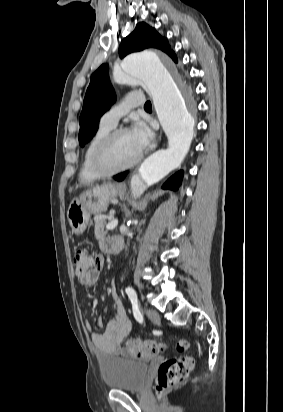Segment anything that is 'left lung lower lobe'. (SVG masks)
I'll use <instances>...</instances> for the list:
<instances>
[{
    "label": "left lung lower lobe",
    "mask_w": 283,
    "mask_h": 412,
    "mask_svg": "<svg viewBox=\"0 0 283 412\" xmlns=\"http://www.w3.org/2000/svg\"><path fill=\"white\" fill-rule=\"evenodd\" d=\"M127 172L117 174L113 176V178L117 181H122L124 177L126 176ZM183 178V171H179L176 174H174L172 177H170L165 184L163 185L164 189H171V190H178V187L181 184Z\"/></svg>",
    "instance_id": "0a47b994"
}]
</instances>
